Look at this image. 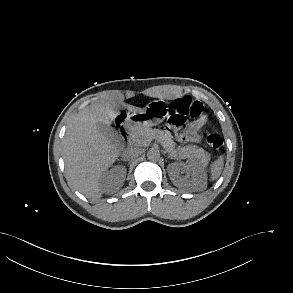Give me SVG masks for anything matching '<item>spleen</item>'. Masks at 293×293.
I'll return each mask as SVG.
<instances>
[{"label": "spleen", "instance_id": "obj_1", "mask_svg": "<svg viewBox=\"0 0 293 293\" xmlns=\"http://www.w3.org/2000/svg\"><path fill=\"white\" fill-rule=\"evenodd\" d=\"M223 165H224V158L223 156H220L218 160H216L210 167V179L213 181L217 179L222 170H223Z\"/></svg>", "mask_w": 293, "mask_h": 293}]
</instances>
